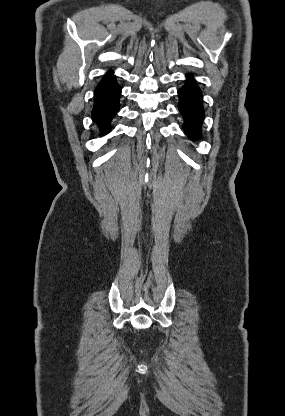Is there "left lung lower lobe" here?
Masks as SVG:
<instances>
[{
  "mask_svg": "<svg viewBox=\"0 0 285 416\" xmlns=\"http://www.w3.org/2000/svg\"><path fill=\"white\" fill-rule=\"evenodd\" d=\"M178 95L179 111L185 120L184 131L191 139H198L201 136L204 110L202 93L191 75H187V82L178 90Z\"/></svg>",
  "mask_w": 285,
  "mask_h": 416,
  "instance_id": "0a47b994",
  "label": "left lung lower lobe"
}]
</instances>
